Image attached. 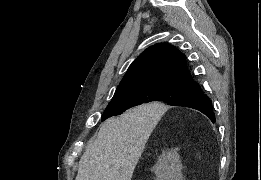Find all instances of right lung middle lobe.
<instances>
[{
	"label": "right lung middle lobe",
	"mask_w": 261,
	"mask_h": 180,
	"mask_svg": "<svg viewBox=\"0 0 261 180\" xmlns=\"http://www.w3.org/2000/svg\"><path fill=\"white\" fill-rule=\"evenodd\" d=\"M201 91L198 83L177 80L152 82L117 89L102 115V121L143 103L163 101L172 104L176 100L195 95Z\"/></svg>",
	"instance_id": "obj_1"
}]
</instances>
